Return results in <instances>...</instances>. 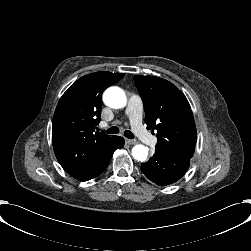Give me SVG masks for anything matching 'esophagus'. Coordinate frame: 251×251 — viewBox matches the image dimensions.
<instances>
[{
    "label": "esophagus",
    "instance_id": "esophagus-1",
    "mask_svg": "<svg viewBox=\"0 0 251 251\" xmlns=\"http://www.w3.org/2000/svg\"><path fill=\"white\" fill-rule=\"evenodd\" d=\"M126 141H127V143H128L129 145H135V144L138 143L136 140L127 139Z\"/></svg>",
    "mask_w": 251,
    "mask_h": 251
}]
</instances>
